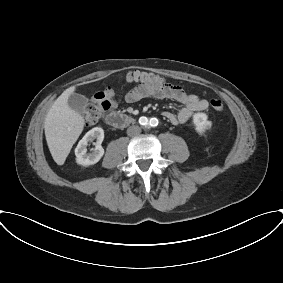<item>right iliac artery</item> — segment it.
Masks as SVG:
<instances>
[{
	"instance_id": "right-iliac-artery-1",
	"label": "right iliac artery",
	"mask_w": 283,
	"mask_h": 283,
	"mask_svg": "<svg viewBox=\"0 0 283 283\" xmlns=\"http://www.w3.org/2000/svg\"><path fill=\"white\" fill-rule=\"evenodd\" d=\"M141 119H142V123H143V124H147L148 119H147L146 117H142Z\"/></svg>"
}]
</instances>
